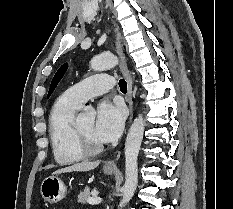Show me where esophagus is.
I'll use <instances>...</instances> for the list:
<instances>
[{"mask_svg": "<svg viewBox=\"0 0 233 209\" xmlns=\"http://www.w3.org/2000/svg\"><path fill=\"white\" fill-rule=\"evenodd\" d=\"M115 34H116V48H117V53L120 57V70L122 72V74L124 75V77L126 78L127 81V95H126V100L129 106V111H130V117H129V122H131L132 117H133V101H132V78L130 75V72L127 68V64H126V58H125V54L123 52V45H122V37H121V33L118 29L117 26H115ZM119 154L117 155V157L114 160H110L106 163V167L109 168H116V160L118 159Z\"/></svg>", "mask_w": 233, "mask_h": 209, "instance_id": "34e87169", "label": "esophagus"}]
</instances>
